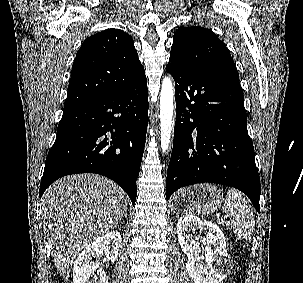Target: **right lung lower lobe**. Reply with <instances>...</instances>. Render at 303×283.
I'll return each mask as SVG.
<instances>
[{"instance_id":"obj_1","label":"right lung lower lobe","mask_w":303,"mask_h":283,"mask_svg":"<svg viewBox=\"0 0 303 283\" xmlns=\"http://www.w3.org/2000/svg\"><path fill=\"white\" fill-rule=\"evenodd\" d=\"M148 107L145 78L124 91L63 110L56 140L46 158L39 196L63 176L96 173L115 181L134 205Z\"/></svg>"}]
</instances>
